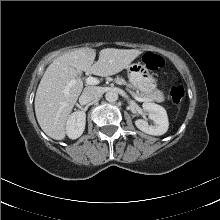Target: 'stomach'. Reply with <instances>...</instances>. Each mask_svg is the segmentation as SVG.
<instances>
[{
	"mask_svg": "<svg viewBox=\"0 0 220 220\" xmlns=\"http://www.w3.org/2000/svg\"><path fill=\"white\" fill-rule=\"evenodd\" d=\"M128 79L131 85L141 93L151 96L160 91L157 89V80L141 63H133L127 68Z\"/></svg>",
	"mask_w": 220,
	"mask_h": 220,
	"instance_id": "0dacf381",
	"label": "stomach"
}]
</instances>
